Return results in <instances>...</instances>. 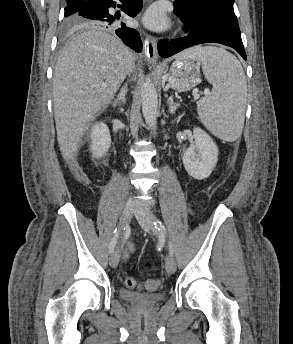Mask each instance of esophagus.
Here are the masks:
<instances>
[{"instance_id": "34e87169", "label": "esophagus", "mask_w": 293, "mask_h": 344, "mask_svg": "<svg viewBox=\"0 0 293 344\" xmlns=\"http://www.w3.org/2000/svg\"><path fill=\"white\" fill-rule=\"evenodd\" d=\"M144 50L147 57V60L155 65L157 63L158 54H157V40L153 36H148L145 39Z\"/></svg>"}]
</instances>
